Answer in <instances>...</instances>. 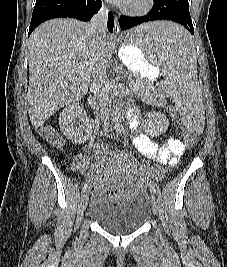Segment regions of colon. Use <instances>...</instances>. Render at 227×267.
Returning a JSON list of instances; mask_svg holds the SVG:
<instances>
[{
  "mask_svg": "<svg viewBox=\"0 0 227 267\" xmlns=\"http://www.w3.org/2000/svg\"><path fill=\"white\" fill-rule=\"evenodd\" d=\"M166 112L169 116H171L172 120L174 121L175 125H182L183 121L180 120L181 116L179 115L178 105L177 104H166L165 105ZM182 134L184 136V147L187 149V152H196V147H199V139H196L194 135H190V130H183ZM41 137L51 143V144H58L59 137L56 132L50 129H44L41 132Z\"/></svg>",
  "mask_w": 227,
  "mask_h": 267,
  "instance_id": "1",
  "label": "colon"
}]
</instances>
